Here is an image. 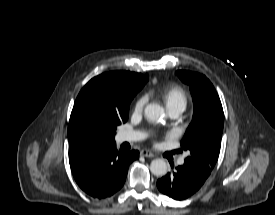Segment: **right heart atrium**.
<instances>
[{
  "instance_id": "1",
  "label": "right heart atrium",
  "mask_w": 275,
  "mask_h": 215,
  "mask_svg": "<svg viewBox=\"0 0 275 215\" xmlns=\"http://www.w3.org/2000/svg\"><path fill=\"white\" fill-rule=\"evenodd\" d=\"M147 96L146 95H141L140 97H138V99L135 101L134 104V112L135 113H141L147 103Z\"/></svg>"
}]
</instances>
